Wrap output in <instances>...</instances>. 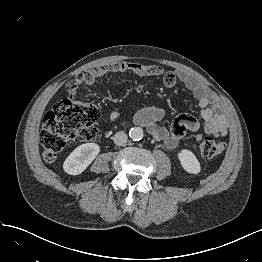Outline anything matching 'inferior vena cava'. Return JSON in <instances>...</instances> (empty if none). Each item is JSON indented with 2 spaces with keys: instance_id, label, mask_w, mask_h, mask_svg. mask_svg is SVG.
Listing matches in <instances>:
<instances>
[{
  "instance_id": "obj_1",
  "label": "inferior vena cava",
  "mask_w": 262,
  "mask_h": 262,
  "mask_svg": "<svg viewBox=\"0 0 262 262\" xmlns=\"http://www.w3.org/2000/svg\"><path fill=\"white\" fill-rule=\"evenodd\" d=\"M128 136L125 132L119 131L117 132L114 137L113 141L116 145L121 146L124 145L127 142Z\"/></svg>"
}]
</instances>
